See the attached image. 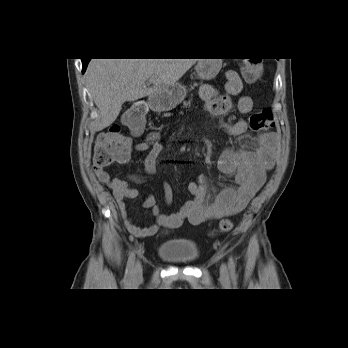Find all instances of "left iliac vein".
I'll use <instances>...</instances> for the list:
<instances>
[{"label": "left iliac vein", "instance_id": "obj_1", "mask_svg": "<svg viewBox=\"0 0 348 348\" xmlns=\"http://www.w3.org/2000/svg\"><path fill=\"white\" fill-rule=\"evenodd\" d=\"M220 277L223 281H228L229 273L226 264H222L220 267Z\"/></svg>", "mask_w": 348, "mask_h": 348}]
</instances>
